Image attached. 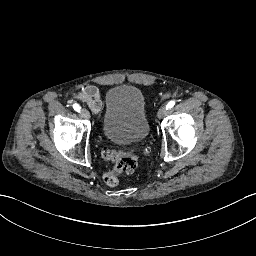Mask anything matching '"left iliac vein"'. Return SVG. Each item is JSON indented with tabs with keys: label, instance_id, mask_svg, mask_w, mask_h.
I'll return each mask as SVG.
<instances>
[{
	"label": "left iliac vein",
	"instance_id": "obj_1",
	"mask_svg": "<svg viewBox=\"0 0 256 256\" xmlns=\"http://www.w3.org/2000/svg\"><path fill=\"white\" fill-rule=\"evenodd\" d=\"M166 113H167V107L161 106L158 110L157 116H158V118H162L166 115Z\"/></svg>",
	"mask_w": 256,
	"mask_h": 256
}]
</instances>
